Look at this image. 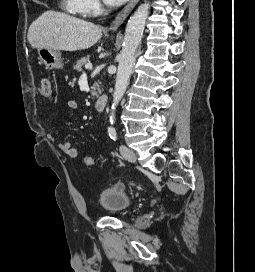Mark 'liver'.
I'll list each match as a JSON object with an SVG mask.
<instances>
[{"label":"liver","instance_id":"1","mask_svg":"<svg viewBox=\"0 0 255 272\" xmlns=\"http://www.w3.org/2000/svg\"><path fill=\"white\" fill-rule=\"evenodd\" d=\"M102 27L57 11H46L29 27L32 47L77 51L93 46L102 36Z\"/></svg>","mask_w":255,"mask_h":272}]
</instances>
